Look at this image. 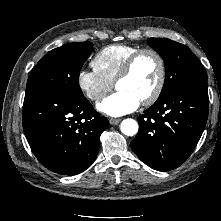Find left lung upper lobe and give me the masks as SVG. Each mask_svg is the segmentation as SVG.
I'll use <instances>...</instances> for the list:
<instances>
[{
    "instance_id": "left-lung-upper-lobe-1",
    "label": "left lung upper lobe",
    "mask_w": 221,
    "mask_h": 221,
    "mask_svg": "<svg viewBox=\"0 0 221 221\" xmlns=\"http://www.w3.org/2000/svg\"><path fill=\"white\" fill-rule=\"evenodd\" d=\"M147 43L161 55L165 62L166 77L158 99L185 84L207 81L205 68L185 45L167 38H150Z\"/></svg>"
}]
</instances>
